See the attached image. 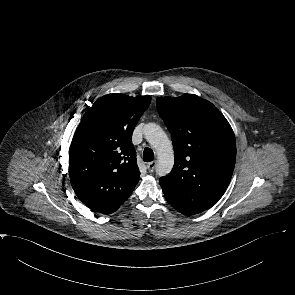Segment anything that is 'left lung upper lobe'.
<instances>
[{"label": "left lung upper lobe", "instance_id": "5c2ea615", "mask_svg": "<svg viewBox=\"0 0 295 295\" xmlns=\"http://www.w3.org/2000/svg\"><path fill=\"white\" fill-rule=\"evenodd\" d=\"M156 103L175 156L172 171L160 178L164 195L184 215L207 210L222 197L233 174V130L211 102L197 95L159 97Z\"/></svg>", "mask_w": 295, "mask_h": 295}]
</instances>
